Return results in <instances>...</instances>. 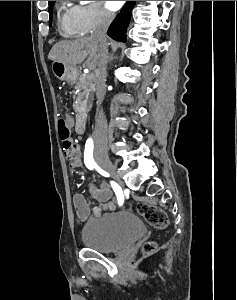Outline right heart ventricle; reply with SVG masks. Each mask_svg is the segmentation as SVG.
Wrapping results in <instances>:
<instances>
[{
  "label": "right heart ventricle",
  "instance_id": "1",
  "mask_svg": "<svg viewBox=\"0 0 237 300\" xmlns=\"http://www.w3.org/2000/svg\"><path fill=\"white\" fill-rule=\"evenodd\" d=\"M58 22L64 35L72 36L79 33L75 25L73 7L63 5L58 11Z\"/></svg>",
  "mask_w": 237,
  "mask_h": 300
}]
</instances>
